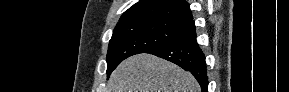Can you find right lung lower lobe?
<instances>
[{
	"mask_svg": "<svg viewBox=\"0 0 289 92\" xmlns=\"http://www.w3.org/2000/svg\"><path fill=\"white\" fill-rule=\"evenodd\" d=\"M147 53L171 61L184 70L190 71L200 84L202 92H207L205 56L197 43L194 24L186 35Z\"/></svg>",
	"mask_w": 289,
	"mask_h": 92,
	"instance_id": "1",
	"label": "right lung lower lobe"
}]
</instances>
